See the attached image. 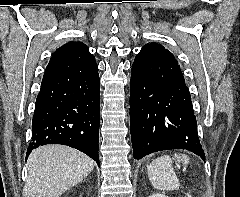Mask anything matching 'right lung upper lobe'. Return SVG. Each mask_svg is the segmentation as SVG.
<instances>
[{"label": "right lung upper lobe", "instance_id": "obj_1", "mask_svg": "<svg viewBox=\"0 0 240 197\" xmlns=\"http://www.w3.org/2000/svg\"><path fill=\"white\" fill-rule=\"evenodd\" d=\"M96 66L94 56L84 43L70 41L53 53L44 76L80 72Z\"/></svg>", "mask_w": 240, "mask_h": 197}]
</instances>
